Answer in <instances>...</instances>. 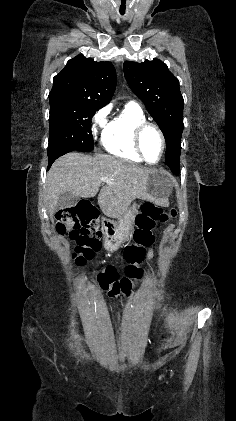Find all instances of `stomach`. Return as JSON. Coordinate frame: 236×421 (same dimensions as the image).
Returning a JSON list of instances; mask_svg holds the SVG:
<instances>
[{
  "instance_id": "obj_1",
  "label": "stomach",
  "mask_w": 236,
  "mask_h": 421,
  "mask_svg": "<svg viewBox=\"0 0 236 421\" xmlns=\"http://www.w3.org/2000/svg\"><path fill=\"white\" fill-rule=\"evenodd\" d=\"M148 190L149 194L163 202L171 190L165 170L161 168H151L148 170ZM136 215H138L137 204H131L126 213L117 217V221H108V231L104 235V247L106 251H118L124 243L130 241L135 225Z\"/></svg>"
}]
</instances>
